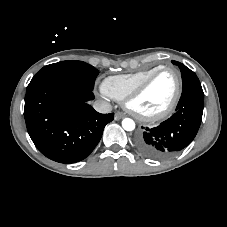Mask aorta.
Returning <instances> with one entry per match:
<instances>
[{
	"label": "aorta",
	"instance_id": "obj_1",
	"mask_svg": "<svg viewBox=\"0 0 227 227\" xmlns=\"http://www.w3.org/2000/svg\"><path fill=\"white\" fill-rule=\"evenodd\" d=\"M122 127L126 131H133L135 129V122L130 118H125L122 120Z\"/></svg>",
	"mask_w": 227,
	"mask_h": 227
}]
</instances>
